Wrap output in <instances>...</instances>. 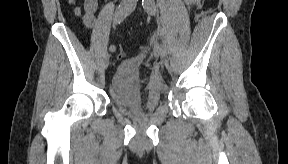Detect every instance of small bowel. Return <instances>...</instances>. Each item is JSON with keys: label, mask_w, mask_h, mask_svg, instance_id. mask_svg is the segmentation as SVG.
<instances>
[{"label": "small bowel", "mask_w": 288, "mask_h": 164, "mask_svg": "<svg viewBox=\"0 0 288 164\" xmlns=\"http://www.w3.org/2000/svg\"><path fill=\"white\" fill-rule=\"evenodd\" d=\"M97 10V1L96 0H86L84 3V13H83V22L87 27H91L95 21V12ZM77 16L82 14V11L79 7H75L74 10Z\"/></svg>", "instance_id": "1"}]
</instances>
